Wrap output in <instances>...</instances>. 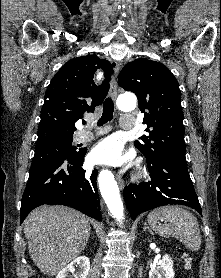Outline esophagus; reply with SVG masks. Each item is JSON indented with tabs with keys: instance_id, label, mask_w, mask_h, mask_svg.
Wrapping results in <instances>:
<instances>
[{
	"instance_id": "obj_1",
	"label": "esophagus",
	"mask_w": 221,
	"mask_h": 278,
	"mask_svg": "<svg viewBox=\"0 0 221 278\" xmlns=\"http://www.w3.org/2000/svg\"><path fill=\"white\" fill-rule=\"evenodd\" d=\"M114 74L112 76V80H111V83H110V95L113 99H116L117 97V76H118V73H119V65L116 63L114 64ZM116 180L120 186L121 189L124 188V182L122 180V177L120 175H116Z\"/></svg>"
}]
</instances>
